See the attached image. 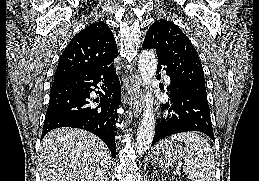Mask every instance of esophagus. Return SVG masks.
Wrapping results in <instances>:
<instances>
[{"mask_svg":"<svg viewBox=\"0 0 259 181\" xmlns=\"http://www.w3.org/2000/svg\"><path fill=\"white\" fill-rule=\"evenodd\" d=\"M125 101L130 105L133 115L138 117L142 111L141 80L138 75H133L131 90L126 95Z\"/></svg>","mask_w":259,"mask_h":181,"instance_id":"34e87169","label":"esophagus"}]
</instances>
